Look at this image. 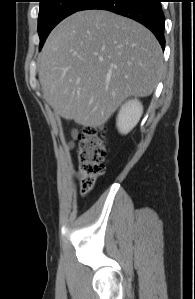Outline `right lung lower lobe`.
Here are the masks:
<instances>
[{
  "label": "right lung lower lobe",
  "mask_w": 195,
  "mask_h": 299,
  "mask_svg": "<svg viewBox=\"0 0 195 299\" xmlns=\"http://www.w3.org/2000/svg\"><path fill=\"white\" fill-rule=\"evenodd\" d=\"M161 0H88L81 10L102 9L131 18L147 27L165 47L164 14Z\"/></svg>",
  "instance_id": "obj_1"
}]
</instances>
